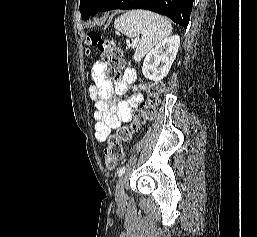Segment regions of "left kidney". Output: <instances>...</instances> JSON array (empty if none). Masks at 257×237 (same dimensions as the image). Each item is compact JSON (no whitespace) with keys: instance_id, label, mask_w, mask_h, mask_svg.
<instances>
[{"instance_id":"5707ae66","label":"left kidney","mask_w":257,"mask_h":237,"mask_svg":"<svg viewBox=\"0 0 257 237\" xmlns=\"http://www.w3.org/2000/svg\"><path fill=\"white\" fill-rule=\"evenodd\" d=\"M180 38L178 35L171 36L154 49L144 59L142 73L144 77L160 81L168 74L179 49Z\"/></svg>"}]
</instances>
